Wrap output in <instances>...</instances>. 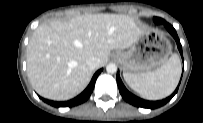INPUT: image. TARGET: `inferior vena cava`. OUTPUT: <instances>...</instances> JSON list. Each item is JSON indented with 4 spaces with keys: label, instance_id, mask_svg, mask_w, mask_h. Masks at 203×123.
Returning <instances> with one entry per match:
<instances>
[{
    "label": "inferior vena cava",
    "instance_id": "inferior-vena-cava-1",
    "mask_svg": "<svg viewBox=\"0 0 203 123\" xmlns=\"http://www.w3.org/2000/svg\"><path fill=\"white\" fill-rule=\"evenodd\" d=\"M86 65L91 69H96L99 66V59L95 56H90L86 60Z\"/></svg>",
    "mask_w": 203,
    "mask_h": 123
}]
</instances>
